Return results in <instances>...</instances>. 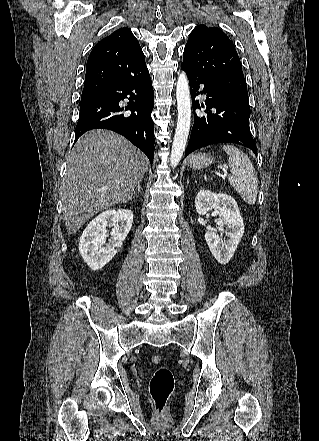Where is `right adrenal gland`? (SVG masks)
<instances>
[{
  "label": "right adrenal gland",
  "mask_w": 319,
  "mask_h": 441,
  "mask_svg": "<svg viewBox=\"0 0 319 441\" xmlns=\"http://www.w3.org/2000/svg\"><path fill=\"white\" fill-rule=\"evenodd\" d=\"M136 190H137L139 193L141 192V185H140V182L138 183ZM136 190L134 191V196H135V194H136Z\"/></svg>",
  "instance_id": "1"
}]
</instances>
